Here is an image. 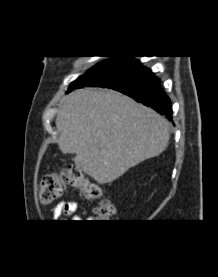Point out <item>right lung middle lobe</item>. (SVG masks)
Returning <instances> with one entry per match:
<instances>
[{"instance_id": "1", "label": "right lung middle lobe", "mask_w": 218, "mask_h": 277, "mask_svg": "<svg viewBox=\"0 0 218 277\" xmlns=\"http://www.w3.org/2000/svg\"><path fill=\"white\" fill-rule=\"evenodd\" d=\"M114 57L89 69L84 75L71 83L68 92L76 89L80 80L87 74L96 73L102 82L101 86L116 89L136 82L149 72V69L143 67L138 60L128 58V56Z\"/></svg>"}]
</instances>
